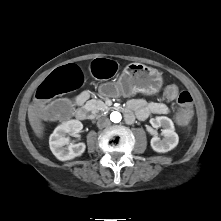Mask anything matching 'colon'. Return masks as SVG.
<instances>
[{
	"label": "colon",
	"mask_w": 221,
	"mask_h": 221,
	"mask_svg": "<svg viewBox=\"0 0 221 221\" xmlns=\"http://www.w3.org/2000/svg\"><path fill=\"white\" fill-rule=\"evenodd\" d=\"M93 74L100 79L111 77L117 69V64L112 60L99 59L91 66ZM84 82V76L80 68L76 65H67L53 71L39 86L36 92L38 101L34 103L36 108L41 106L48 100L56 96L71 92L79 88ZM167 102H176L179 105L177 120L185 128H191L194 120L191 118L193 114L192 97L188 92H179V88L172 84L169 85L163 93ZM72 108L68 102L59 101L56 103H48L42 107L38 113L40 118L45 121L54 122L68 119L71 116Z\"/></svg>",
	"instance_id": "1"
}]
</instances>
